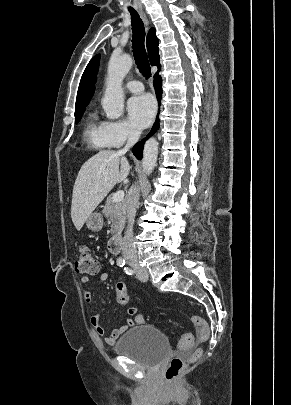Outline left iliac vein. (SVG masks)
Listing matches in <instances>:
<instances>
[{"mask_svg": "<svg viewBox=\"0 0 291 405\" xmlns=\"http://www.w3.org/2000/svg\"><path fill=\"white\" fill-rule=\"evenodd\" d=\"M135 272H136V277L139 280L144 281V282L148 280V272L145 268H143L141 266H136Z\"/></svg>", "mask_w": 291, "mask_h": 405, "instance_id": "left-iliac-vein-1", "label": "left iliac vein"}]
</instances>
